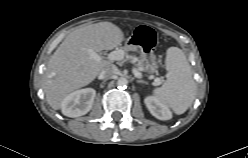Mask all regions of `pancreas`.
Instances as JSON below:
<instances>
[{"label": "pancreas", "instance_id": "obj_1", "mask_svg": "<svg viewBox=\"0 0 248 158\" xmlns=\"http://www.w3.org/2000/svg\"><path fill=\"white\" fill-rule=\"evenodd\" d=\"M136 66H137V70L145 71L144 62L142 60H138Z\"/></svg>", "mask_w": 248, "mask_h": 158}]
</instances>
